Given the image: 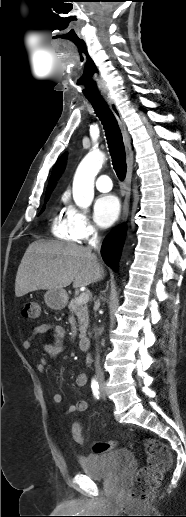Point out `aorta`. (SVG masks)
I'll list each match as a JSON object with an SVG mask.
<instances>
[{
	"label": "aorta",
	"instance_id": "obj_1",
	"mask_svg": "<svg viewBox=\"0 0 186 517\" xmlns=\"http://www.w3.org/2000/svg\"><path fill=\"white\" fill-rule=\"evenodd\" d=\"M105 161L99 150L90 151L79 164L73 180V199L82 208H88L94 197L95 177Z\"/></svg>",
	"mask_w": 186,
	"mask_h": 517
}]
</instances>
